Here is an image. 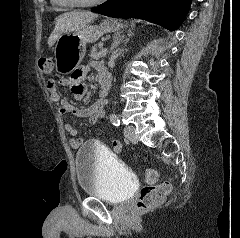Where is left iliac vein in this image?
Listing matches in <instances>:
<instances>
[{"instance_id": "1", "label": "left iliac vein", "mask_w": 240, "mask_h": 238, "mask_svg": "<svg viewBox=\"0 0 240 238\" xmlns=\"http://www.w3.org/2000/svg\"><path fill=\"white\" fill-rule=\"evenodd\" d=\"M124 135L127 140H129L132 143H137V136L135 127L132 125H128L124 128Z\"/></svg>"}]
</instances>
